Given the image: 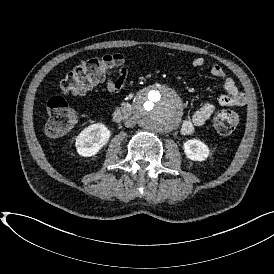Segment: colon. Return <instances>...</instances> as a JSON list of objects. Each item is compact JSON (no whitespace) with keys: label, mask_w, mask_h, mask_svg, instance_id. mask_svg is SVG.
I'll list each match as a JSON object with an SVG mask.
<instances>
[{"label":"colon","mask_w":274,"mask_h":274,"mask_svg":"<svg viewBox=\"0 0 274 274\" xmlns=\"http://www.w3.org/2000/svg\"><path fill=\"white\" fill-rule=\"evenodd\" d=\"M125 63L119 54H106L89 58L74 66L61 79V94L51 96L47 101L49 119L46 125V134L50 138H59L69 132L77 120L76 112L66 101L67 94L85 85L102 73L111 76L122 71ZM239 117L234 111L219 109L213 116L212 124L215 132L221 136L232 134L238 127Z\"/></svg>","instance_id":"5ec220e1"}]
</instances>
